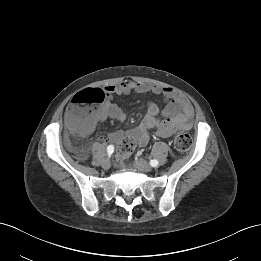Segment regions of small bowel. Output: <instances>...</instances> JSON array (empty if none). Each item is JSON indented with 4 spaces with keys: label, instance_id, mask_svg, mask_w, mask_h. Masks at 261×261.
Masks as SVG:
<instances>
[{
    "label": "small bowel",
    "instance_id": "c3829d8e",
    "mask_svg": "<svg viewBox=\"0 0 261 261\" xmlns=\"http://www.w3.org/2000/svg\"><path fill=\"white\" fill-rule=\"evenodd\" d=\"M105 101L94 111L92 126L87 133H91L98 124L108 119L123 121L126 117L124 110L113 101L115 95L155 94L161 95L164 107L150 102L146 108V114L141 123L127 131H116L101 138L104 142L118 143L124 138H131L135 146H145L149 141V133L154 130L160 138H169L178 130L190 129L192 125L193 108L190 102L178 91L170 87L134 82L122 81L106 88ZM162 115V118L159 116Z\"/></svg>",
    "mask_w": 261,
    "mask_h": 261
}]
</instances>
